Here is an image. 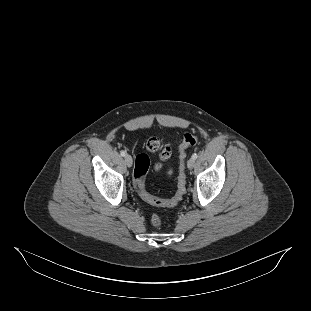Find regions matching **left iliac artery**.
<instances>
[{
	"label": "left iliac artery",
	"mask_w": 311,
	"mask_h": 311,
	"mask_svg": "<svg viewBox=\"0 0 311 311\" xmlns=\"http://www.w3.org/2000/svg\"><path fill=\"white\" fill-rule=\"evenodd\" d=\"M197 157H198V155H197L196 153H194V154L192 155V158H193V159H197Z\"/></svg>",
	"instance_id": "obj_1"
}]
</instances>
